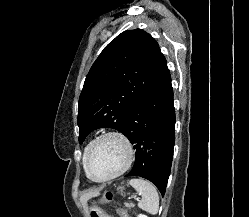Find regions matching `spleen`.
I'll return each mask as SVG.
<instances>
[{
  "label": "spleen",
  "mask_w": 249,
  "mask_h": 217,
  "mask_svg": "<svg viewBox=\"0 0 249 217\" xmlns=\"http://www.w3.org/2000/svg\"><path fill=\"white\" fill-rule=\"evenodd\" d=\"M129 183L142 196V199L138 203L139 208L152 215L157 214L159 209V195L156 187L151 182L141 178H133Z\"/></svg>",
  "instance_id": "obj_1"
}]
</instances>
